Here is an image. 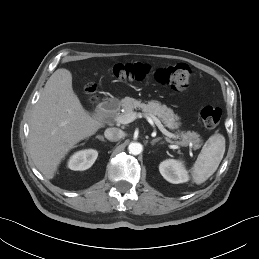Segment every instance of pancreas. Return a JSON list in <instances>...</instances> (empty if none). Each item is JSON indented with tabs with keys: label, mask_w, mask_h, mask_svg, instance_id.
<instances>
[{
	"label": "pancreas",
	"mask_w": 259,
	"mask_h": 259,
	"mask_svg": "<svg viewBox=\"0 0 259 259\" xmlns=\"http://www.w3.org/2000/svg\"><path fill=\"white\" fill-rule=\"evenodd\" d=\"M119 106L123 108L124 114L133 112L134 109H141L146 114L156 116L170 129L178 128L180 125V123L177 122L179 117L174 114L173 110L158 101L153 100L145 104L142 103L141 100L125 97L119 102ZM112 114H116V112L114 111ZM178 138L179 141H176V143L181 146L191 145L194 149H198L202 145V139L196 132H181Z\"/></svg>",
	"instance_id": "obj_1"
}]
</instances>
